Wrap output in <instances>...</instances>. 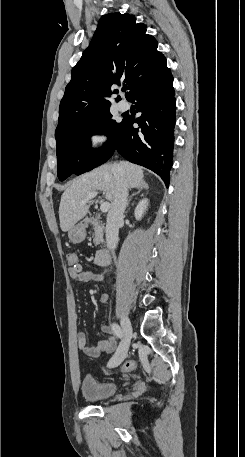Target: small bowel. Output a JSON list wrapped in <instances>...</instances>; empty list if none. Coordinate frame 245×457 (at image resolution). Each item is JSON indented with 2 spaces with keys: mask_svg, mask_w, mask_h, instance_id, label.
<instances>
[{
  "mask_svg": "<svg viewBox=\"0 0 245 457\" xmlns=\"http://www.w3.org/2000/svg\"><path fill=\"white\" fill-rule=\"evenodd\" d=\"M69 275L71 278L81 281V282H89V281H101L103 276L100 273L93 272V271H84L79 266L77 269L70 267L69 268ZM108 294L104 293L100 296V302L106 303L108 301ZM102 332L106 334L108 337L99 341L96 346H89L86 340V336L83 332H79L77 335V346L80 351L90 357H98L102 354H110L114 352L117 348V341L111 335V330L108 326H103L101 328Z\"/></svg>",
  "mask_w": 245,
  "mask_h": 457,
  "instance_id": "1",
  "label": "small bowel"
}]
</instances>
